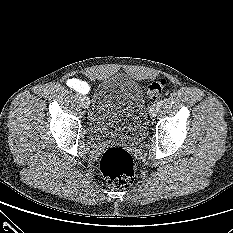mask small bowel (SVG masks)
<instances>
[{"label":"small bowel","instance_id":"obj_1","mask_svg":"<svg viewBox=\"0 0 233 233\" xmlns=\"http://www.w3.org/2000/svg\"><path fill=\"white\" fill-rule=\"evenodd\" d=\"M67 85L72 88L73 90L81 93V94H88L90 92V85L77 78V77H71L67 80Z\"/></svg>","mask_w":233,"mask_h":233}]
</instances>
